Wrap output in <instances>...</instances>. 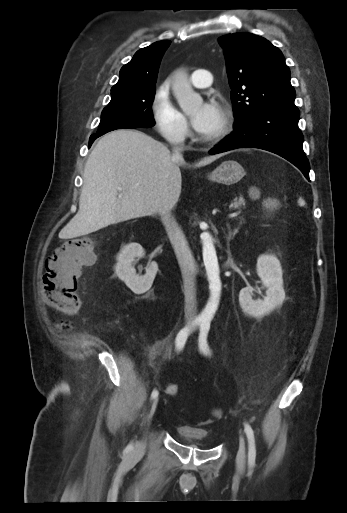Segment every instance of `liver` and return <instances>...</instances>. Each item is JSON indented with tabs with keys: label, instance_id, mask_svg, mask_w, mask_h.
Returning a JSON list of instances; mask_svg holds the SVG:
<instances>
[{
	"label": "liver",
	"instance_id": "liver-1",
	"mask_svg": "<svg viewBox=\"0 0 347 513\" xmlns=\"http://www.w3.org/2000/svg\"><path fill=\"white\" fill-rule=\"evenodd\" d=\"M221 155L206 157L197 166ZM181 165L183 159L175 160L164 144L141 131L118 129L105 134L85 164L79 210L60 231V238L159 214L158 200L164 192H172L178 200Z\"/></svg>",
	"mask_w": 347,
	"mask_h": 513
}]
</instances>
